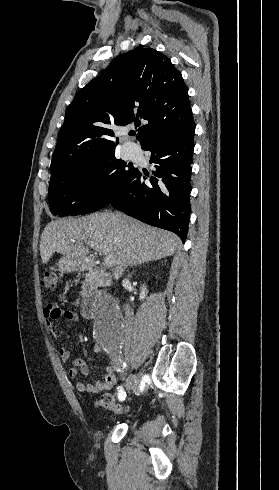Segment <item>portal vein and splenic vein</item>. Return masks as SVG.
<instances>
[{
    "label": "portal vein and splenic vein",
    "mask_w": 279,
    "mask_h": 490,
    "mask_svg": "<svg viewBox=\"0 0 279 490\" xmlns=\"http://www.w3.org/2000/svg\"><path fill=\"white\" fill-rule=\"evenodd\" d=\"M88 246H90V248H96V250H101L100 246H98V244H95V242H91V244H89L88 242ZM104 264L106 268H112V266H115L114 256H112V254H110V256H107V258H105L104 260Z\"/></svg>",
    "instance_id": "obj_1"
}]
</instances>
